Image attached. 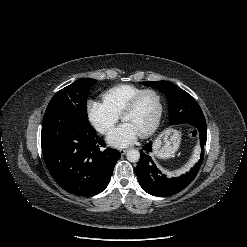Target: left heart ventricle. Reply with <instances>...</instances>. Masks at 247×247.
<instances>
[{
	"mask_svg": "<svg viewBox=\"0 0 247 247\" xmlns=\"http://www.w3.org/2000/svg\"><path fill=\"white\" fill-rule=\"evenodd\" d=\"M158 100L153 94L144 95L137 107L124 116L123 121L130 123L139 134L149 129L158 115Z\"/></svg>",
	"mask_w": 247,
	"mask_h": 247,
	"instance_id": "b2bd125f",
	"label": "left heart ventricle"
}]
</instances>
